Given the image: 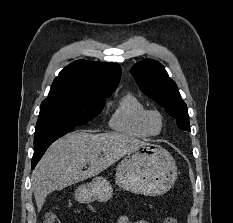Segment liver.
Returning <instances> with one entry per match:
<instances>
[{"instance_id": "liver-1", "label": "liver", "mask_w": 233, "mask_h": 223, "mask_svg": "<svg viewBox=\"0 0 233 223\" xmlns=\"http://www.w3.org/2000/svg\"><path fill=\"white\" fill-rule=\"evenodd\" d=\"M143 143L137 137L116 131H71L65 137L57 139L32 171L31 185L38 211L51 191L99 175L131 149ZM86 163H89L88 169L83 171Z\"/></svg>"}]
</instances>
